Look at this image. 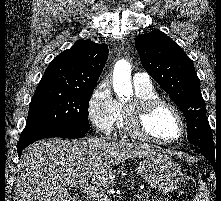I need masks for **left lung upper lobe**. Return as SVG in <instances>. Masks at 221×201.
Segmentation results:
<instances>
[{
  "instance_id": "left-lung-upper-lobe-1",
  "label": "left lung upper lobe",
  "mask_w": 221,
  "mask_h": 201,
  "mask_svg": "<svg viewBox=\"0 0 221 201\" xmlns=\"http://www.w3.org/2000/svg\"><path fill=\"white\" fill-rule=\"evenodd\" d=\"M135 46L145 70L184 112L190 143L196 148L215 151L192 60L175 41L160 31L137 36Z\"/></svg>"
}]
</instances>
